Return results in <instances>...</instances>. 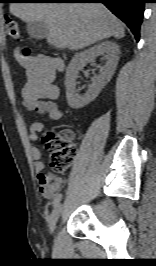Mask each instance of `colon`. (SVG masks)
Returning a JSON list of instances; mask_svg holds the SVG:
<instances>
[{"mask_svg": "<svg viewBox=\"0 0 156 266\" xmlns=\"http://www.w3.org/2000/svg\"><path fill=\"white\" fill-rule=\"evenodd\" d=\"M5 31L9 39L21 40V30L18 23L11 17L5 18ZM25 58L31 57V50L25 48L22 52ZM74 133L70 129L60 132H47L44 136L46 148L50 151L49 163L53 170L63 172L70 167L76 156L73 143Z\"/></svg>", "mask_w": 156, "mask_h": 266, "instance_id": "1", "label": "colon"}]
</instances>
